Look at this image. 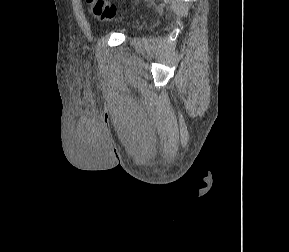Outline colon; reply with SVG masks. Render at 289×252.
Returning a JSON list of instances; mask_svg holds the SVG:
<instances>
[{
    "label": "colon",
    "instance_id": "colon-1",
    "mask_svg": "<svg viewBox=\"0 0 289 252\" xmlns=\"http://www.w3.org/2000/svg\"><path fill=\"white\" fill-rule=\"evenodd\" d=\"M92 15L102 21H109L116 17L118 10L107 0H86Z\"/></svg>",
    "mask_w": 289,
    "mask_h": 252
}]
</instances>
